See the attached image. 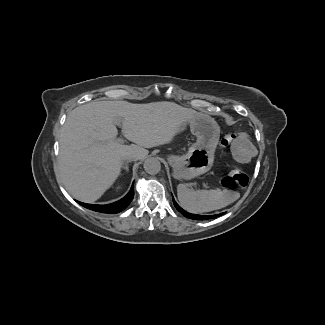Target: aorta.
<instances>
[{"label":"aorta","mask_w":325,"mask_h":325,"mask_svg":"<svg viewBox=\"0 0 325 325\" xmlns=\"http://www.w3.org/2000/svg\"><path fill=\"white\" fill-rule=\"evenodd\" d=\"M143 167L147 173L155 174L160 169V163L156 158L150 157L144 161Z\"/></svg>","instance_id":"1"}]
</instances>
